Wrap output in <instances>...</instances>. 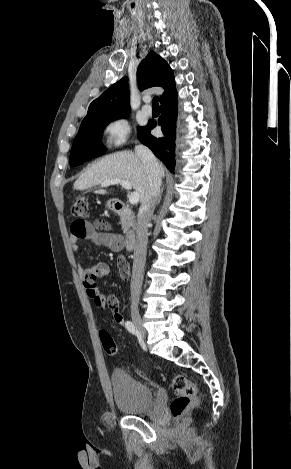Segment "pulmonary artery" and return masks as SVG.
Returning a JSON list of instances; mask_svg holds the SVG:
<instances>
[{"label": "pulmonary artery", "mask_w": 291, "mask_h": 469, "mask_svg": "<svg viewBox=\"0 0 291 469\" xmlns=\"http://www.w3.org/2000/svg\"><path fill=\"white\" fill-rule=\"evenodd\" d=\"M145 102H146V104L142 107V111L145 115H151L152 114V108L148 104L149 99H146Z\"/></svg>", "instance_id": "pulmonary-artery-1"}]
</instances>
